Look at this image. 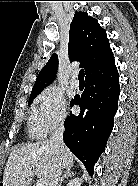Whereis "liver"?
Here are the masks:
<instances>
[{"instance_id": "6515ba94", "label": "liver", "mask_w": 138, "mask_h": 186, "mask_svg": "<svg viewBox=\"0 0 138 186\" xmlns=\"http://www.w3.org/2000/svg\"><path fill=\"white\" fill-rule=\"evenodd\" d=\"M58 163V157L49 141H38L22 147L15 148L8 158L3 174V186H30L31 171L42 181L44 186H49L51 174ZM74 155L65 147L62 165L72 166Z\"/></svg>"}]
</instances>
